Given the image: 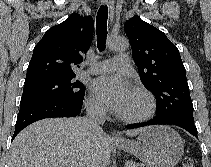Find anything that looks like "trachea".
Listing matches in <instances>:
<instances>
[{
	"label": "trachea",
	"mask_w": 211,
	"mask_h": 167,
	"mask_svg": "<svg viewBox=\"0 0 211 167\" xmlns=\"http://www.w3.org/2000/svg\"><path fill=\"white\" fill-rule=\"evenodd\" d=\"M107 19L108 7L107 5H101L96 18L97 46L100 52L105 50L107 37Z\"/></svg>",
	"instance_id": "3493384b"
}]
</instances>
